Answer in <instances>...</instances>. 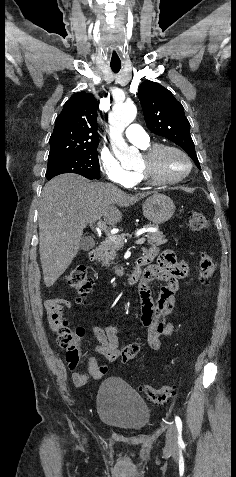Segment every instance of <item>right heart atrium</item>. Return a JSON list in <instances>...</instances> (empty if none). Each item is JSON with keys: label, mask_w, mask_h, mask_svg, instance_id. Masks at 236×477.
Segmentation results:
<instances>
[{"label": "right heart atrium", "mask_w": 236, "mask_h": 477, "mask_svg": "<svg viewBox=\"0 0 236 477\" xmlns=\"http://www.w3.org/2000/svg\"><path fill=\"white\" fill-rule=\"evenodd\" d=\"M98 161L101 172L110 183L122 187L133 184L132 172L125 169L109 151L101 150Z\"/></svg>", "instance_id": "d8ad5b80"}]
</instances>
